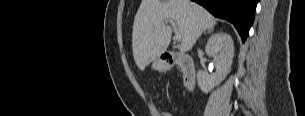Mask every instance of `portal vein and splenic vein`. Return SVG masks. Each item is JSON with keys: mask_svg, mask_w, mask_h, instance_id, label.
I'll return each mask as SVG.
<instances>
[{"mask_svg": "<svg viewBox=\"0 0 305 116\" xmlns=\"http://www.w3.org/2000/svg\"><path fill=\"white\" fill-rule=\"evenodd\" d=\"M166 23H168V22L166 21ZM169 23L172 25V27H173L174 30H175V40H176V41H181L182 37H181L180 33L177 31V25H176V23H175V22H172V21H170Z\"/></svg>", "mask_w": 305, "mask_h": 116, "instance_id": "obj_1", "label": "portal vein and splenic vein"}]
</instances>
